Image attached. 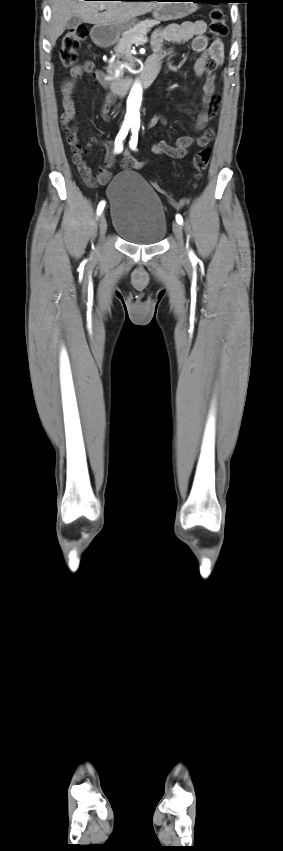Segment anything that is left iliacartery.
Wrapping results in <instances>:
<instances>
[{"instance_id": "obj_1", "label": "left iliac artery", "mask_w": 283, "mask_h": 851, "mask_svg": "<svg viewBox=\"0 0 283 851\" xmlns=\"http://www.w3.org/2000/svg\"><path fill=\"white\" fill-rule=\"evenodd\" d=\"M131 131H132V136H131V140H130V142H129V145H130V148H131V149L136 150V146H137V142H138L139 124H138V123L133 124V125H132V129H131ZM176 221H177L179 224H182V223H183V218H182V216H181V215H179V214H177V215H176ZM190 256H191V257H194V255H193V253H192V252H190Z\"/></svg>"}]
</instances>
